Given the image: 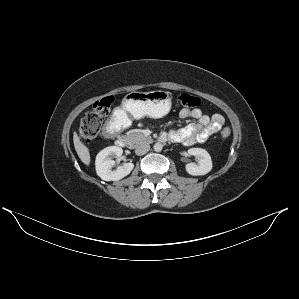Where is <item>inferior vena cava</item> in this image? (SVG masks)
<instances>
[{"mask_svg":"<svg viewBox=\"0 0 299 299\" xmlns=\"http://www.w3.org/2000/svg\"><path fill=\"white\" fill-rule=\"evenodd\" d=\"M150 150L149 144H139L136 146L135 153L137 155H144Z\"/></svg>","mask_w":299,"mask_h":299,"instance_id":"1","label":"inferior vena cava"}]
</instances>
